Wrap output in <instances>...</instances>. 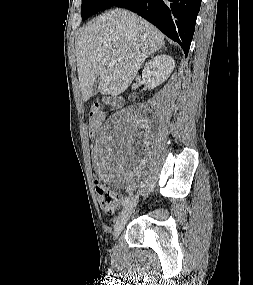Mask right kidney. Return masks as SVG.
<instances>
[{"label": "right kidney", "mask_w": 253, "mask_h": 285, "mask_svg": "<svg viewBox=\"0 0 253 285\" xmlns=\"http://www.w3.org/2000/svg\"><path fill=\"white\" fill-rule=\"evenodd\" d=\"M175 68V60L166 54L152 58L144 67L142 78L149 89L165 82Z\"/></svg>", "instance_id": "obj_1"}]
</instances>
